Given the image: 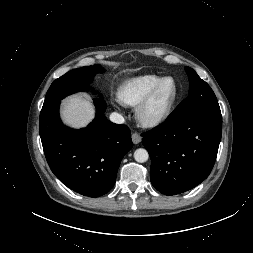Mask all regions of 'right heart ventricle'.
<instances>
[{"mask_svg": "<svg viewBox=\"0 0 253 253\" xmlns=\"http://www.w3.org/2000/svg\"><path fill=\"white\" fill-rule=\"evenodd\" d=\"M160 79L155 74H144L125 80L118 89L120 102L130 107L138 106Z\"/></svg>", "mask_w": 253, "mask_h": 253, "instance_id": "right-heart-ventricle-1", "label": "right heart ventricle"}]
</instances>
